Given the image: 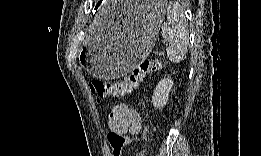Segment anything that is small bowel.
Returning <instances> with one entry per match:
<instances>
[{
  "label": "small bowel",
  "instance_id": "obj_1",
  "mask_svg": "<svg viewBox=\"0 0 261 156\" xmlns=\"http://www.w3.org/2000/svg\"><path fill=\"white\" fill-rule=\"evenodd\" d=\"M108 126L110 132L135 135L141 129V118L130 106L118 104L109 113Z\"/></svg>",
  "mask_w": 261,
  "mask_h": 156
}]
</instances>
